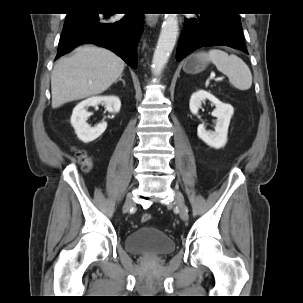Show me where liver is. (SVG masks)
I'll return each instance as SVG.
<instances>
[{
    "instance_id": "obj_1",
    "label": "liver",
    "mask_w": 303,
    "mask_h": 303,
    "mask_svg": "<svg viewBox=\"0 0 303 303\" xmlns=\"http://www.w3.org/2000/svg\"><path fill=\"white\" fill-rule=\"evenodd\" d=\"M124 61L113 52L93 45L75 49L58 60L51 75L52 108L98 95L122 74Z\"/></svg>"
}]
</instances>
